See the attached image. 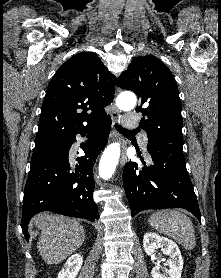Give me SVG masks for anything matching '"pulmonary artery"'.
<instances>
[{
  "instance_id": "1",
  "label": "pulmonary artery",
  "mask_w": 221,
  "mask_h": 278,
  "mask_svg": "<svg viewBox=\"0 0 221 278\" xmlns=\"http://www.w3.org/2000/svg\"><path fill=\"white\" fill-rule=\"evenodd\" d=\"M121 123L124 127L134 129L138 127V120L134 114H126L121 118ZM144 142H146L147 138L143 136Z\"/></svg>"
}]
</instances>
